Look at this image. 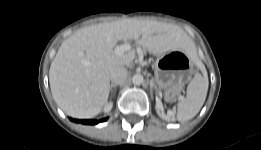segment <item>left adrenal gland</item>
Wrapping results in <instances>:
<instances>
[{
  "instance_id": "obj_1",
  "label": "left adrenal gland",
  "mask_w": 261,
  "mask_h": 150,
  "mask_svg": "<svg viewBox=\"0 0 261 150\" xmlns=\"http://www.w3.org/2000/svg\"><path fill=\"white\" fill-rule=\"evenodd\" d=\"M149 83H150V91L152 92L153 82L150 80Z\"/></svg>"
}]
</instances>
